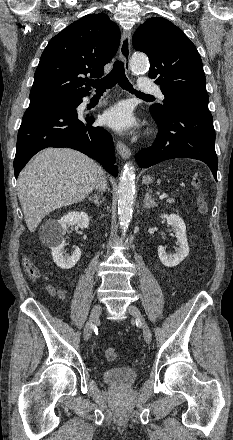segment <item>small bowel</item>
<instances>
[{
  "mask_svg": "<svg viewBox=\"0 0 233 440\" xmlns=\"http://www.w3.org/2000/svg\"><path fill=\"white\" fill-rule=\"evenodd\" d=\"M46 291L48 293H50L52 296H55V297H57L60 300H64L65 299V293L61 289H56L53 286H47L46 287Z\"/></svg>",
  "mask_w": 233,
  "mask_h": 440,
  "instance_id": "c3829d8e",
  "label": "small bowel"
}]
</instances>
